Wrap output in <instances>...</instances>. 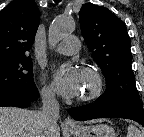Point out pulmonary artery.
<instances>
[{"instance_id": "1", "label": "pulmonary artery", "mask_w": 144, "mask_h": 137, "mask_svg": "<svg viewBox=\"0 0 144 137\" xmlns=\"http://www.w3.org/2000/svg\"><path fill=\"white\" fill-rule=\"evenodd\" d=\"M80 48V41L76 36H68L64 38L56 47L58 53L71 55L76 53Z\"/></svg>"}]
</instances>
